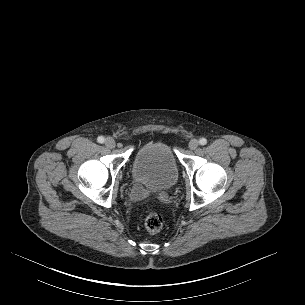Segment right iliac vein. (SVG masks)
I'll list each match as a JSON object with an SVG mask.
<instances>
[{"instance_id": "obj_1", "label": "right iliac vein", "mask_w": 305, "mask_h": 305, "mask_svg": "<svg viewBox=\"0 0 305 305\" xmlns=\"http://www.w3.org/2000/svg\"><path fill=\"white\" fill-rule=\"evenodd\" d=\"M105 145L106 147L112 149L115 147L116 143H115V140L111 137H108L106 140H105Z\"/></svg>"}]
</instances>
